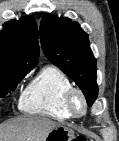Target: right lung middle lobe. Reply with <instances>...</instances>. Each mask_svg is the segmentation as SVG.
Returning <instances> with one entry per match:
<instances>
[{"instance_id": "obj_1", "label": "right lung middle lobe", "mask_w": 119, "mask_h": 141, "mask_svg": "<svg viewBox=\"0 0 119 141\" xmlns=\"http://www.w3.org/2000/svg\"><path fill=\"white\" fill-rule=\"evenodd\" d=\"M27 73L0 72V97H4L7 93L14 91Z\"/></svg>"}]
</instances>
